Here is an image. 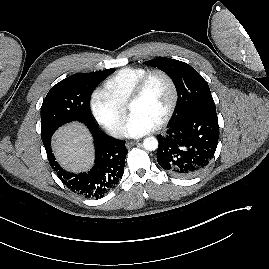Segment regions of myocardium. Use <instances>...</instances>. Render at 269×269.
Segmentation results:
<instances>
[{
	"mask_svg": "<svg viewBox=\"0 0 269 269\" xmlns=\"http://www.w3.org/2000/svg\"><path fill=\"white\" fill-rule=\"evenodd\" d=\"M161 76L163 77L171 90V100H170V104L168 106L167 111L165 112L164 116L162 117V119L156 124V128H161L164 125H166L168 123V121L171 119L177 103H178V88L176 85L175 80L173 79V77L167 73L164 70L161 69H153V70H149L147 73H145L137 82V84L135 85L129 99L127 102V108L130 110V107L137 102L145 93L146 88L150 82V80L154 77V76Z\"/></svg>",
	"mask_w": 269,
	"mask_h": 269,
	"instance_id": "obj_1",
	"label": "myocardium"
}]
</instances>
